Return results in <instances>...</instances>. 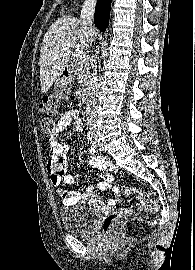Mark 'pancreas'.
<instances>
[{
	"instance_id": "1",
	"label": "pancreas",
	"mask_w": 195,
	"mask_h": 270,
	"mask_svg": "<svg viewBox=\"0 0 195 270\" xmlns=\"http://www.w3.org/2000/svg\"><path fill=\"white\" fill-rule=\"evenodd\" d=\"M71 69L73 75L81 85H86L90 80L89 67L86 61L73 58Z\"/></svg>"
}]
</instances>
